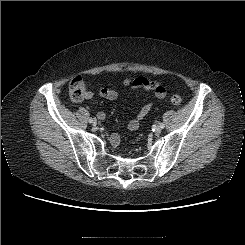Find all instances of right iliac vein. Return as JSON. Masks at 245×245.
Returning <instances> with one entry per match:
<instances>
[{"instance_id": "right-iliac-vein-1", "label": "right iliac vein", "mask_w": 245, "mask_h": 245, "mask_svg": "<svg viewBox=\"0 0 245 245\" xmlns=\"http://www.w3.org/2000/svg\"><path fill=\"white\" fill-rule=\"evenodd\" d=\"M90 123L93 124V125L97 124V122L95 120L91 121Z\"/></svg>"}]
</instances>
